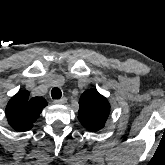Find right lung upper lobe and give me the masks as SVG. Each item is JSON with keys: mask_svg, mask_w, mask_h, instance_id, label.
<instances>
[{"mask_svg": "<svg viewBox=\"0 0 165 165\" xmlns=\"http://www.w3.org/2000/svg\"><path fill=\"white\" fill-rule=\"evenodd\" d=\"M47 104L42 97L29 98V92L26 90L18 92L10 99L6 107L9 125L18 131L30 130Z\"/></svg>", "mask_w": 165, "mask_h": 165, "instance_id": "cb5924a9", "label": "right lung upper lobe"}]
</instances>
